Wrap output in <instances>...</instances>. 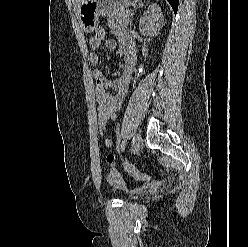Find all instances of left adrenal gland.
I'll use <instances>...</instances> for the list:
<instances>
[{
    "label": "left adrenal gland",
    "mask_w": 248,
    "mask_h": 247,
    "mask_svg": "<svg viewBox=\"0 0 248 247\" xmlns=\"http://www.w3.org/2000/svg\"><path fill=\"white\" fill-rule=\"evenodd\" d=\"M143 5H144V4H143L142 2H140L138 8L143 7ZM136 10H137V8H135L134 13L136 12ZM134 13H133V14H134Z\"/></svg>",
    "instance_id": "left-adrenal-gland-1"
}]
</instances>
